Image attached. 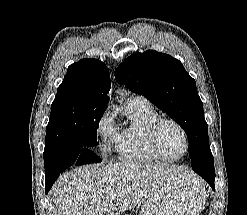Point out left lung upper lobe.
Returning a JSON list of instances; mask_svg holds the SVG:
<instances>
[{
	"mask_svg": "<svg viewBox=\"0 0 247 215\" xmlns=\"http://www.w3.org/2000/svg\"><path fill=\"white\" fill-rule=\"evenodd\" d=\"M115 79L148 98L184 129L191 165L199 162L203 153L211 152L196 82L179 60L154 50L134 53L115 70Z\"/></svg>",
	"mask_w": 247,
	"mask_h": 215,
	"instance_id": "left-lung-upper-lobe-1",
	"label": "left lung upper lobe"
}]
</instances>
